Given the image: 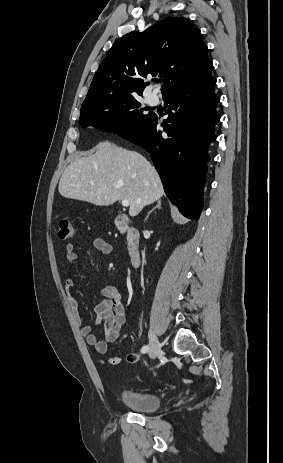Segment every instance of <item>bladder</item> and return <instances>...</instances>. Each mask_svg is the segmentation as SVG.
Returning <instances> with one entry per match:
<instances>
[{"instance_id":"obj_1","label":"bladder","mask_w":283,"mask_h":463,"mask_svg":"<svg viewBox=\"0 0 283 463\" xmlns=\"http://www.w3.org/2000/svg\"><path fill=\"white\" fill-rule=\"evenodd\" d=\"M120 400L127 407L142 413H152L160 407L158 395L143 391L124 390Z\"/></svg>"}]
</instances>
